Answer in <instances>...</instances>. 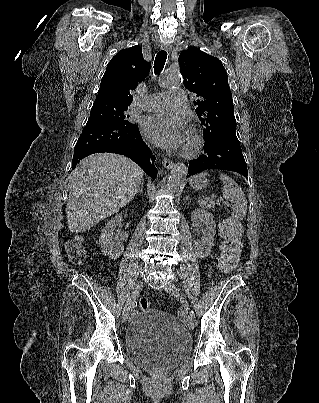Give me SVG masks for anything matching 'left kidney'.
<instances>
[{
  "mask_svg": "<svg viewBox=\"0 0 319 403\" xmlns=\"http://www.w3.org/2000/svg\"><path fill=\"white\" fill-rule=\"evenodd\" d=\"M191 221L195 226L203 223L201 240L194 242L196 254L200 258H206L214 243V236L216 233V224L213 215L204 209H195L191 214Z\"/></svg>",
  "mask_w": 319,
  "mask_h": 403,
  "instance_id": "1",
  "label": "left kidney"
}]
</instances>
